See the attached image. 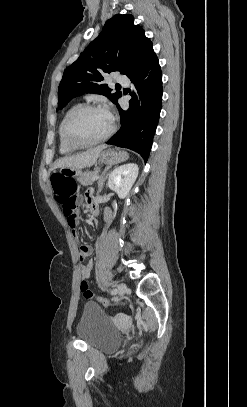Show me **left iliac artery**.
I'll return each instance as SVG.
<instances>
[{
	"label": "left iliac artery",
	"mask_w": 247,
	"mask_h": 407,
	"mask_svg": "<svg viewBox=\"0 0 247 407\" xmlns=\"http://www.w3.org/2000/svg\"><path fill=\"white\" fill-rule=\"evenodd\" d=\"M116 293V289L111 290V294H115Z\"/></svg>",
	"instance_id": "1"
}]
</instances>
